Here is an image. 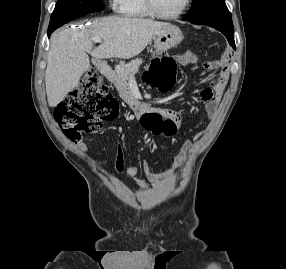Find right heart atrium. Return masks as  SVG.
Listing matches in <instances>:
<instances>
[{"label": "right heart atrium", "mask_w": 286, "mask_h": 269, "mask_svg": "<svg viewBox=\"0 0 286 269\" xmlns=\"http://www.w3.org/2000/svg\"><path fill=\"white\" fill-rule=\"evenodd\" d=\"M109 1V4H110V7L113 8V9H116L117 8V5H118V1L119 0H108Z\"/></svg>", "instance_id": "obj_1"}]
</instances>
